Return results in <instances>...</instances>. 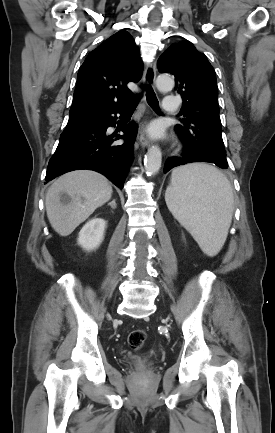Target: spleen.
<instances>
[{
	"mask_svg": "<svg viewBox=\"0 0 275 433\" xmlns=\"http://www.w3.org/2000/svg\"><path fill=\"white\" fill-rule=\"evenodd\" d=\"M169 210L208 256L222 248L232 221L234 196L226 176L201 163L172 171L165 193Z\"/></svg>",
	"mask_w": 275,
	"mask_h": 433,
	"instance_id": "1",
	"label": "spleen"
}]
</instances>
